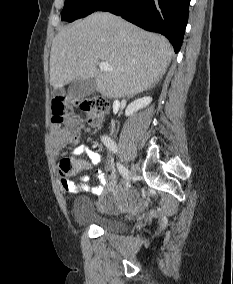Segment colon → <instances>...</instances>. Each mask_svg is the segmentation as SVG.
Returning <instances> with one entry per match:
<instances>
[{
  "label": "colon",
  "mask_w": 233,
  "mask_h": 284,
  "mask_svg": "<svg viewBox=\"0 0 233 284\" xmlns=\"http://www.w3.org/2000/svg\"><path fill=\"white\" fill-rule=\"evenodd\" d=\"M86 115V120L91 126L99 125L108 110V104L105 100L98 97L82 98L75 103ZM52 121L56 124H69L72 107L62 99L56 98L52 101ZM67 140L71 144H76L79 140V133L76 129L67 133ZM60 173L63 179L72 175L76 168L70 158H63L59 164Z\"/></svg>",
  "instance_id": "1"
}]
</instances>
